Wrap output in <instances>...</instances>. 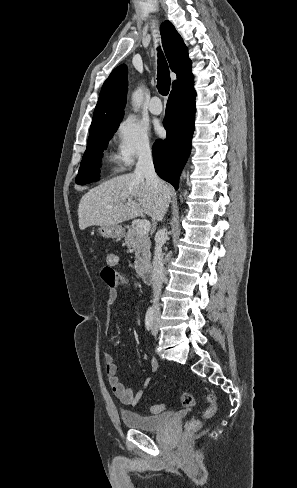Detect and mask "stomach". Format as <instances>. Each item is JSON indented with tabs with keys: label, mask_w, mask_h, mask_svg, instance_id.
Wrapping results in <instances>:
<instances>
[{
	"label": "stomach",
	"mask_w": 297,
	"mask_h": 488,
	"mask_svg": "<svg viewBox=\"0 0 297 488\" xmlns=\"http://www.w3.org/2000/svg\"><path fill=\"white\" fill-rule=\"evenodd\" d=\"M100 234L105 238H122L124 229L120 225L100 226Z\"/></svg>",
	"instance_id": "0dacf381"
}]
</instances>
